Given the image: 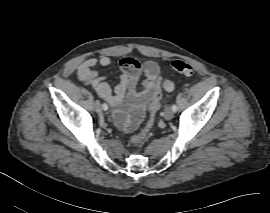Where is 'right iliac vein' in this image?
<instances>
[{
  "instance_id": "obj_1",
  "label": "right iliac vein",
  "mask_w": 270,
  "mask_h": 213,
  "mask_svg": "<svg viewBox=\"0 0 270 213\" xmlns=\"http://www.w3.org/2000/svg\"><path fill=\"white\" fill-rule=\"evenodd\" d=\"M94 109H95V111L96 112H101V105H100V102L98 101V100H96L95 102H94Z\"/></svg>"
}]
</instances>
